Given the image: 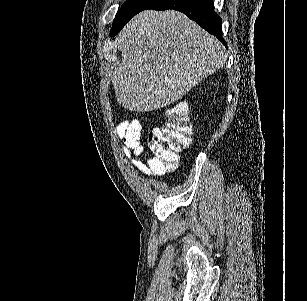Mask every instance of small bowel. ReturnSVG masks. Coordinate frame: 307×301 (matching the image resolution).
<instances>
[{"mask_svg": "<svg viewBox=\"0 0 307 301\" xmlns=\"http://www.w3.org/2000/svg\"><path fill=\"white\" fill-rule=\"evenodd\" d=\"M142 132V125L138 120L122 122L115 128L117 138L123 142V152L133 166L146 176H161L166 172V168L157 157L147 155L145 162L140 159L146 153L141 141Z\"/></svg>", "mask_w": 307, "mask_h": 301, "instance_id": "c3829d8e", "label": "small bowel"}]
</instances>
